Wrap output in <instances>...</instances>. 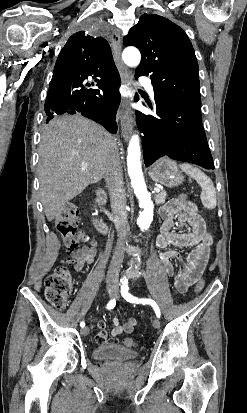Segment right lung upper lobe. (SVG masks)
Masks as SVG:
<instances>
[{"label":"right lung upper lobe","instance_id":"1","mask_svg":"<svg viewBox=\"0 0 247 413\" xmlns=\"http://www.w3.org/2000/svg\"><path fill=\"white\" fill-rule=\"evenodd\" d=\"M118 73L108 42L102 37L73 34L61 50L53 77L64 74L108 76Z\"/></svg>","mask_w":247,"mask_h":413}]
</instances>
